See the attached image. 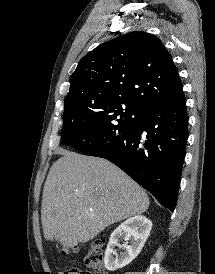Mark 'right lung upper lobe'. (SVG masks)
Instances as JSON below:
<instances>
[{
	"label": "right lung upper lobe",
	"instance_id": "right-lung-upper-lobe-1",
	"mask_svg": "<svg viewBox=\"0 0 215 274\" xmlns=\"http://www.w3.org/2000/svg\"><path fill=\"white\" fill-rule=\"evenodd\" d=\"M183 97L169 52L157 37L136 31L85 55L70 77L65 102L121 101L144 109Z\"/></svg>",
	"mask_w": 215,
	"mask_h": 274
}]
</instances>
